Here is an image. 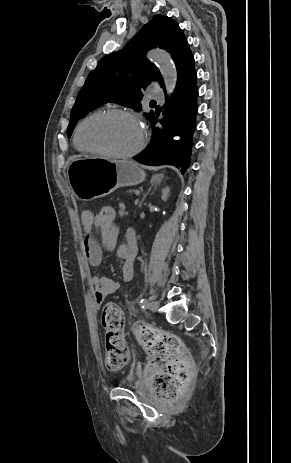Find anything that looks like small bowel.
I'll use <instances>...</instances> for the list:
<instances>
[{
    "label": "small bowel",
    "instance_id": "small-bowel-1",
    "mask_svg": "<svg viewBox=\"0 0 291 463\" xmlns=\"http://www.w3.org/2000/svg\"><path fill=\"white\" fill-rule=\"evenodd\" d=\"M81 223L85 232L84 254L89 264L97 267L102 261V248L94 237V230H98L103 247L108 251H115L116 256L124 260L121 268L122 281L130 283L134 277V260L137 254L134 231L128 229L126 242L117 244L119 229L116 223L101 231L96 223V214L88 210L82 212ZM91 283L94 286V298L97 305H100L107 296L115 293L120 286L118 282L97 272L91 276Z\"/></svg>",
    "mask_w": 291,
    "mask_h": 463
}]
</instances>
